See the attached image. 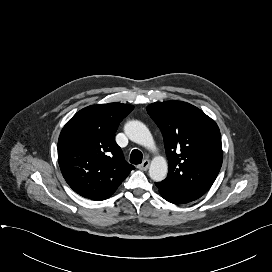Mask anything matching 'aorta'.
I'll return each instance as SVG.
<instances>
[{
	"instance_id": "762f6f07",
	"label": "aorta",
	"mask_w": 272,
	"mask_h": 272,
	"mask_svg": "<svg viewBox=\"0 0 272 272\" xmlns=\"http://www.w3.org/2000/svg\"><path fill=\"white\" fill-rule=\"evenodd\" d=\"M125 134L128 138L146 148H154V140L145 124L132 120L124 126ZM168 172V165L163 157H155L149 168V176L153 181L160 182L165 179Z\"/></svg>"
}]
</instances>
